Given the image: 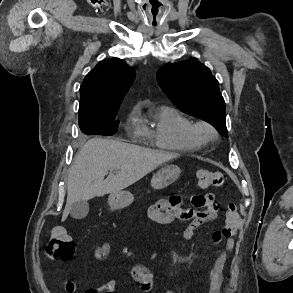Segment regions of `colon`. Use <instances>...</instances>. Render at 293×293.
Segmentation results:
<instances>
[{
    "instance_id": "1",
    "label": "colon",
    "mask_w": 293,
    "mask_h": 293,
    "mask_svg": "<svg viewBox=\"0 0 293 293\" xmlns=\"http://www.w3.org/2000/svg\"><path fill=\"white\" fill-rule=\"evenodd\" d=\"M224 176L221 172L199 170L197 172V186L201 189L221 187ZM239 224L238 208L235 202H230L226 211V221L223 227L225 236L236 234ZM46 255L51 259L70 260L75 253V246L70 234L63 228L57 227L51 233V238L45 247Z\"/></svg>"
}]
</instances>
